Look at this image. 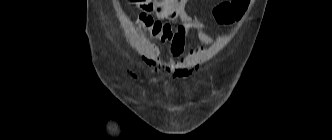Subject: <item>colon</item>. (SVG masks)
I'll use <instances>...</instances> for the list:
<instances>
[{
	"mask_svg": "<svg viewBox=\"0 0 332 140\" xmlns=\"http://www.w3.org/2000/svg\"><path fill=\"white\" fill-rule=\"evenodd\" d=\"M178 0H130L141 7L145 12L139 14L136 24L145 29L151 36H167L173 30L169 23L155 19L147 12L157 11L171 16L175 13L174 5ZM249 0H229L220 3L213 10L216 21L220 24H230L239 20L248 8Z\"/></svg>",
	"mask_w": 332,
	"mask_h": 140,
	"instance_id": "5ec220e1",
	"label": "colon"
}]
</instances>
